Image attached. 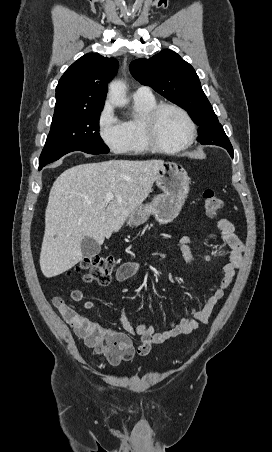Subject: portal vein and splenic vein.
<instances>
[{
  "mask_svg": "<svg viewBox=\"0 0 272 452\" xmlns=\"http://www.w3.org/2000/svg\"><path fill=\"white\" fill-rule=\"evenodd\" d=\"M114 199V195L111 193V192H107L106 194H105V201L106 202H109V201H111V200H113Z\"/></svg>",
  "mask_w": 272,
  "mask_h": 452,
  "instance_id": "obj_1",
  "label": "portal vein and splenic vein"
}]
</instances>
